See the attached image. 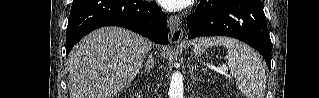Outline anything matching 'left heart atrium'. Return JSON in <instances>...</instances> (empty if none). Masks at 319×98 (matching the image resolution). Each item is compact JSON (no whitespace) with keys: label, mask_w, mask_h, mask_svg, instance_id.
<instances>
[{"label":"left heart atrium","mask_w":319,"mask_h":98,"mask_svg":"<svg viewBox=\"0 0 319 98\" xmlns=\"http://www.w3.org/2000/svg\"><path fill=\"white\" fill-rule=\"evenodd\" d=\"M191 2V0H159L160 5L169 11H178Z\"/></svg>","instance_id":"obj_1"}]
</instances>
